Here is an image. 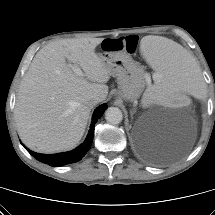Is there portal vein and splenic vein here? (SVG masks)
<instances>
[{
  "instance_id": "18ae733b",
  "label": "portal vein and splenic vein",
  "mask_w": 215,
  "mask_h": 215,
  "mask_svg": "<svg viewBox=\"0 0 215 215\" xmlns=\"http://www.w3.org/2000/svg\"><path fill=\"white\" fill-rule=\"evenodd\" d=\"M72 70L77 74V75H80L82 76L83 75V72L82 70L80 69L79 66H77L76 64H73V65H70Z\"/></svg>"
}]
</instances>
